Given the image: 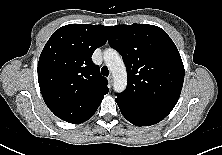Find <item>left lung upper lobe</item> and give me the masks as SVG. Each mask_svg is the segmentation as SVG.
<instances>
[{"label": "left lung upper lobe", "mask_w": 222, "mask_h": 155, "mask_svg": "<svg viewBox=\"0 0 222 155\" xmlns=\"http://www.w3.org/2000/svg\"><path fill=\"white\" fill-rule=\"evenodd\" d=\"M110 46L126 65L127 89L117 100L135 110L166 117L176 105L184 66L174 42L161 28L147 24L106 26Z\"/></svg>", "instance_id": "left-lung-upper-lobe-1"}]
</instances>
